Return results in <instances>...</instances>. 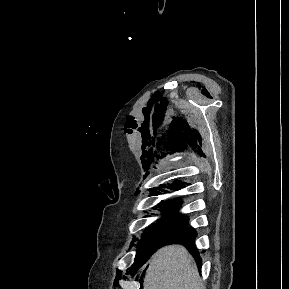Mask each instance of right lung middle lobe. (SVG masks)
Instances as JSON below:
<instances>
[{"label":"right lung middle lobe","mask_w":289,"mask_h":289,"mask_svg":"<svg viewBox=\"0 0 289 289\" xmlns=\"http://www.w3.org/2000/svg\"><path fill=\"white\" fill-rule=\"evenodd\" d=\"M180 206V201H174L171 204L164 206L162 208L163 215L161 218L155 225H152L150 228L146 229L140 241H143L149 237H170L178 234L180 229H182L188 222V217L178 213Z\"/></svg>","instance_id":"obj_1"}]
</instances>
